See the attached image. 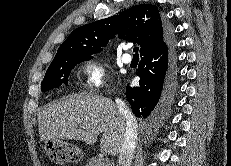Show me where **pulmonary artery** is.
Listing matches in <instances>:
<instances>
[{
  "label": "pulmonary artery",
  "instance_id": "pulmonary-artery-1",
  "mask_svg": "<svg viewBox=\"0 0 231 166\" xmlns=\"http://www.w3.org/2000/svg\"><path fill=\"white\" fill-rule=\"evenodd\" d=\"M122 61H123L125 64H130L131 61H132L131 55L128 54V53H125V54L122 56Z\"/></svg>",
  "mask_w": 231,
  "mask_h": 166
}]
</instances>
